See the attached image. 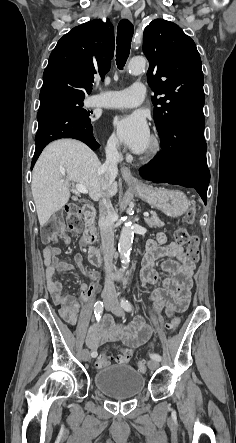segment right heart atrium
Masks as SVG:
<instances>
[{
	"label": "right heart atrium",
	"instance_id": "d8ad5b80",
	"mask_svg": "<svg viewBox=\"0 0 236 443\" xmlns=\"http://www.w3.org/2000/svg\"><path fill=\"white\" fill-rule=\"evenodd\" d=\"M107 149L109 152H114L116 150V142L114 139L108 141Z\"/></svg>",
	"mask_w": 236,
	"mask_h": 443
}]
</instances>
